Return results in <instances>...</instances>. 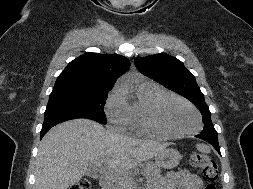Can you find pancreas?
I'll use <instances>...</instances> for the list:
<instances>
[{"mask_svg": "<svg viewBox=\"0 0 253 189\" xmlns=\"http://www.w3.org/2000/svg\"><path fill=\"white\" fill-rule=\"evenodd\" d=\"M159 167H149L146 171V176L151 184H157L162 179ZM132 185L131 178L124 174L119 173L114 177L113 183L110 185L111 189H130Z\"/></svg>", "mask_w": 253, "mask_h": 189, "instance_id": "cf45deb5", "label": "pancreas"}]
</instances>
